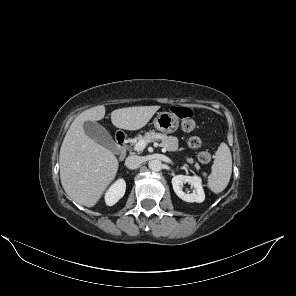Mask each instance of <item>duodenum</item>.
<instances>
[{
  "mask_svg": "<svg viewBox=\"0 0 296 296\" xmlns=\"http://www.w3.org/2000/svg\"><path fill=\"white\" fill-rule=\"evenodd\" d=\"M116 142L118 144L119 147V151H120V158H124L125 156V150H126V141H125V136L123 134L118 133L116 135Z\"/></svg>",
  "mask_w": 296,
  "mask_h": 296,
  "instance_id": "1",
  "label": "duodenum"
}]
</instances>
